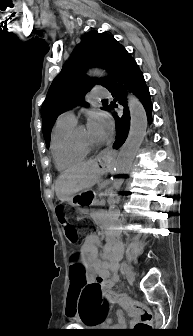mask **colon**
I'll use <instances>...</instances> for the list:
<instances>
[{
  "mask_svg": "<svg viewBox=\"0 0 193 336\" xmlns=\"http://www.w3.org/2000/svg\"><path fill=\"white\" fill-rule=\"evenodd\" d=\"M59 221L65 231L66 238L70 243L76 244L80 240L81 226L74 224L72 219L76 216L75 212L63 206L57 208ZM85 227H90L91 222H84ZM71 274L75 280L76 286L79 288L76 303H78V312L83 320L90 319V309L87 299L90 297H101L103 295V285L100 281L87 283L84 277V268L76 258L72 267ZM126 305L136 312L139 316V322L132 329V335H141L152 328L154 315L153 312L144 304L126 301Z\"/></svg>",
  "mask_w": 193,
  "mask_h": 336,
  "instance_id": "5ec220e1",
  "label": "colon"
}]
</instances>
